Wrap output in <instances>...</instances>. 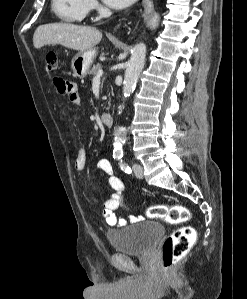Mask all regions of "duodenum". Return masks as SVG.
Listing matches in <instances>:
<instances>
[{"label": "duodenum", "mask_w": 247, "mask_h": 299, "mask_svg": "<svg viewBox=\"0 0 247 299\" xmlns=\"http://www.w3.org/2000/svg\"><path fill=\"white\" fill-rule=\"evenodd\" d=\"M101 121L106 126H112L113 124V115L109 112H104L101 114Z\"/></svg>", "instance_id": "1"}]
</instances>
